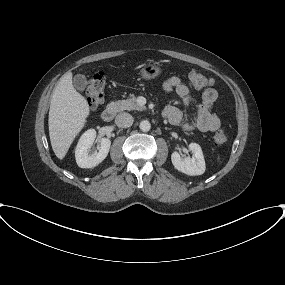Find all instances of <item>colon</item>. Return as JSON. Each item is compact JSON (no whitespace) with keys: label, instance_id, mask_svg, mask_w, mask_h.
Instances as JSON below:
<instances>
[{"label":"colon","instance_id":"colon-1","mask_svg":"<svg viewBox=\"0 0 285 285\" xmlns=\"http://www.w3.org/2000/svg\"><path fill=\"white\" fill-rule=\"evenodd\" d=\"M191 85L197 89L207 88L213 84V80L199 72L191 71L187 74ZM105 74L103 72L95 73L88 81L86 90V100L89 106L96 108L104 101ZM228 140L223 131H218L213 136V144L216 147L224 145Z\"/></svg>","mask_w":285,"mask_h":285}]
</instances>
